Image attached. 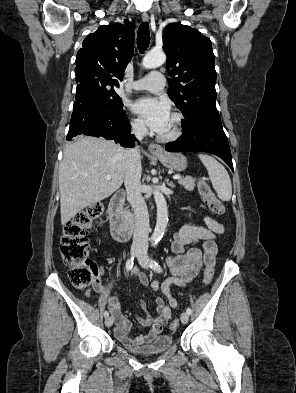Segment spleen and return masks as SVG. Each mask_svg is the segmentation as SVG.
Segmentation results:
<instances>
[{"instance_id":"3e777b00","label":"spleen","mask_w":296,"mask_h":393,"mask_svg":"<svg viewBox=\"0 0 296 393\" xmlns=\"http://www.w3.org/2000/svg\"><path fill=\"white\" fill-rule=\"evenodd\" d=\"M198 157L206 167L213 188L219 199L222 201H230L232 196V184L224 166L209 155L199 154Z\"/></svg>"}]
</instances>
